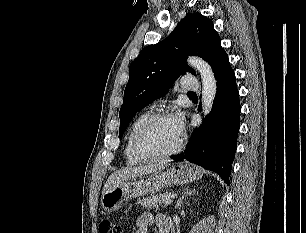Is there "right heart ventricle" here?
Masks as SVG:
<instances>
[{"label":"right heart ventricle","instance_id":"e07e8e85","mask_svg":"<svg viewBox=\"0 0 306 233\" xmlns=\"http://www.w3.org/2000/svg\"><path fill=\"white\" fill-rule=\"evenodd\" d=\"M150 111H144L140 113L131 123L128 135L126 138V144H125V156L127 159L128 164H136L144 159H141L135 155L132 148V138L136 131V129L139 127V125L148 117L150 116Z\"/></svg>","mask_w":306,"mask_h":233}]
</instances>
